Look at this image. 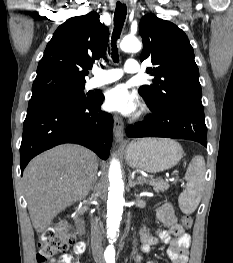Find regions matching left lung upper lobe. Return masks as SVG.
Masks as SVG:
<instances>
[{
    "label": "left lung upper lobe",
    "instance_id": "1",
    "mask_svg": "<svg viewBox=\"0 0 233 263\" xmlns=\"http://www.w3.org/2000/svg\"><path fill=\"white\" fill-rule=\"evenodd\" d=\"M139 33L144 44L140 60L154 65L148 68L154 85L139 89L149 109L159 112L180 102L202 104L199 71L186 34L153 14L142 17Z\"/></svg>",
    "mask_w": 233,
    "mask_h": 263
}]
</instances>
